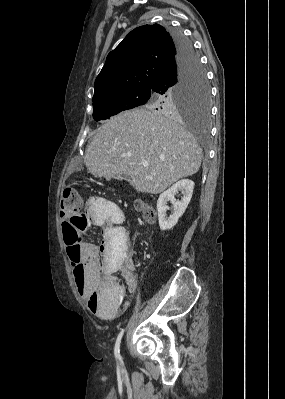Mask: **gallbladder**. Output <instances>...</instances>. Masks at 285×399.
<instances>
[{"mask_svg":"<svg viewBox=\"0 0 285 399\" xmlns=\"http://www.w3.org/2000/svg\"><path fill=\"white\" fill-rule=\"evenodd\" d=\"M116 179H119V180H127V181L130 180L129 176L126 175V174H124V173H121V174L117 175V176H116Z\"/></svg>","mask_w":285,"mask_h":399,"instance_id":"gallbladder-1","label":"gallbladder"}]
</instances>
